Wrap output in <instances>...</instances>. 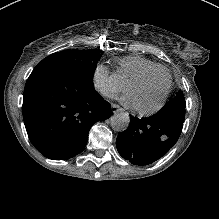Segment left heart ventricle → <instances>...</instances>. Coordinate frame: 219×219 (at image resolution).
<instances>
[{
	"label": "left heart ventricle",
	"instance_id": "b2bd125f",
	"mask_svg": "<svg viewBox=\"0 0 219 219\" xmlns=\"http://www.w3.org/2000/svg\"><path fill=\"white\" fill-rule=\"evenodd\" d=\"M167 82L168 75L167 72L163 70L158 75L137 85L132 92V98L136 103L151 105L161 97Z\"/></svg>",
	"mask_w": 219,
	"mask_h": 219
}]
</instances>
